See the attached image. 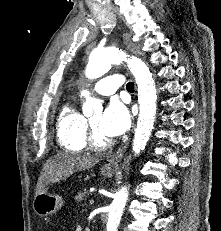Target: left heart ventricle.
<instances>
[{
	"mask_svg": "<svg viewBox=\"0 0 221 231\" xmlns=\"http://www.w3.org/2000/svg\"><path fill=\"white\" fill-rule=\"evenodd\" d=\"M101 119V114H96L90 118H88L93 130L96 133V136L98 137L99 140L101 141H106V140H110V137L104 135L100 129H99V122Z\"/></svg>",
	"mask_w": 221,
	"mask_h": 231,
	"instance_id": "b2bd125f",
	"label": "left heart ventricle"
}]
</instances>
